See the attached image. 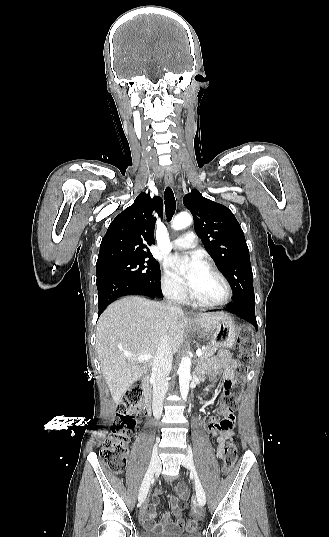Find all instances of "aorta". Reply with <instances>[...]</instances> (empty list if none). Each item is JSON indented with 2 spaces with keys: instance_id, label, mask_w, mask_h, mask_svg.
I'll return each instance as SVG.
<instances>
[{
  "instance_id": "1",
  "label": "aorta",
  "mask_w": 329,
  "mask_h": 537,
  "mask_svg": "<svg viewBox=\"0 0 329 537\" xmlns=\"http://www.w3.org/2000/svg\"><path fill=\"white\" fill-rule=\"evenodd\" d=\"M192 216L188 213L182 212L174 217L172 220V228L174 230L184 229L192 224ZM179 374V386L180 394L183 399H186L189 392V382L191 379V359L188 356H184L181 359V363L178 369Z\"/></svg>"
}]
</instances>
